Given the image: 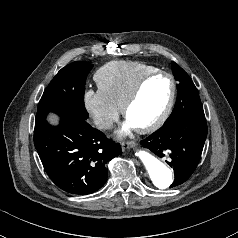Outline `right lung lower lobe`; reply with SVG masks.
<instances>
[{"label": "right lung lower lobe", "instance_id": "98d812e1", "mask_svg": "<svg viewBox=\"0 0 238 238\" xmlns=\"http://www.w3.org/2000/svg\"><path fill=\"white\" fill-rule=\"evenodd\" d=\"M34 145L50 179L76 195L98 191L107 181L108 161L122 153L118 143L81 118L35 125Z\"/></svg>", "mask_w": 238, "mask_h": 238}]
</instances>
